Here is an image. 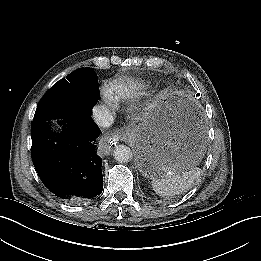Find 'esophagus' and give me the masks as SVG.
I'll list each match as a JSON object with an SVG mask.
<instances>
[{"instance_id": "esophagus-1", "label": "esophagus", "mask_w": 261, "mask_h": 261, "mask_svg": "<svg viewBox=\"0 0 261 261\" xmlns=\"http://www.w3.org/2000/svg\"><path fill=\"white\" fill-rule=\"evenodd\" d=\"M123 132L117 131L113 133L111 136H106L105 139L107 143L104 145L103 154L109 155L114 146H116L117 142L121 139ZM103 147V146H102Z\"/></svg>"}]
</instances>
